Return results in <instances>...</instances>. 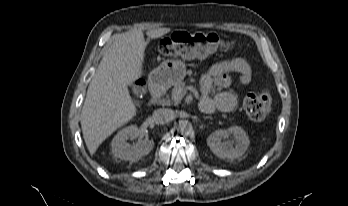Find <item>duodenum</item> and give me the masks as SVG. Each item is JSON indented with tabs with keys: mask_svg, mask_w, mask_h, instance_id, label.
<instances>
[{
	"mask_svg": "<svg viewBox=\"0 0 348 206\" xmlns=\"http://www.w3.org/2000/svg\"><path fill=\"white\" fill-rule=\"evenodd\" d=\"M150 89L152 95V103H156L161 95L163 94V86L161 85V81L159 78H151L150 79Z\"/></svg>",
	"mask_w": 348,
	"mask_h": 206,
	"instance_id": "410a0bca",
	"label": "duodenum"
}]
</instances>
